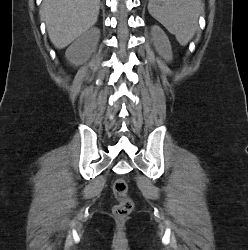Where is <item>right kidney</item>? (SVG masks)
<instances>
[{
    "label": "right kidney",
    "instance_id": "ca27d5eb",
    "mask_svg": "<svg viewBox=\"0 0 248 250\" xmlns=\"http://www.w3.org/2000/svg\"><path fill=\"white\" fill-rule=\"evenodd\" d=\"M100 36V30L94 29L83 33L66 50L65 57L70 64L75 66L83 65L89 60L96 49Z\"/></svg>",
    "mask_w": 248,
    "mask_h": 250
}]
</instances>
